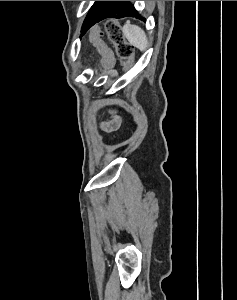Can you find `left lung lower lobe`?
<instances>
[{
	"label": "left lung lower lobe",
	"mask_w": 237,
	"mask_h": 300,
	"mask_svg": "<svg viewBox=\"0 0 237 300\" xmlns=\"http://www.w3.org/2000/svg\"><path fill=\"white\" fill-rule=\"evenodd\" d=\"M128 2L129 1H109V3L101 11V13L90 22L89 28L105 18H122L126 16H134L135 12L127 8Z\"/></svg>",
	"instance_id": "obj_1"
}]
</instances>
